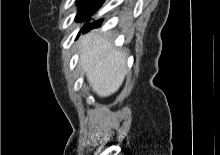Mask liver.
<instances>
[{
	"mask_svg": "<svg viewBox=\"0 0 220 155\" xmlns=\"http://www.w3.org/2000/svg\"><path fill=\"white\" fill-rule=\"evenodd\" d=\"M79 64L93 91L100 97L115 93L126 74V54L114 49L112 42L96 32L81 36Z\"/></svg>",
	"mask_w": 220,
	"mask_h": 155,
	"instance_id": "1",
	"label": "liver"
}]
</instances>
